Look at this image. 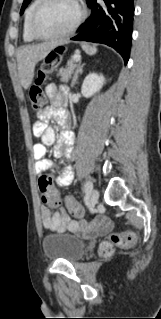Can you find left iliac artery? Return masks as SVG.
<instances>
[{"label": "left iliac artery", "instance_id": "44dca946", "mask_svg": "<svg viewBox=\"0 0 161 319\" xmlns=\"http://www.w3.org/2000/svg\"><path fill=\"white\" fill-rule=\"evenodd\" d=\"M92 188H93V183L90 180L86 181V183L84 185V192L90 193Z\"/></svg>", "mask_w": 161, "mask_h": 319}]
</instances>
